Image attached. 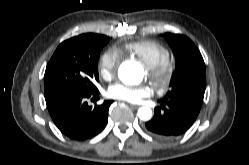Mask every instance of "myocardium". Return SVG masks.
<instances>
[{
	"mask_svg": "<svg viewBox=\"0 0 249 165\" xmlns=\"http://www.w3.org/2000/svg\"><path fill=\"white\" fill-rule=\"evenodd\" d=\"M175 73V64L166 59L154 66H147V75L155 89L159 92L168 90Z\"/></svg>",
	"mask_w": 249,
	"mask_h": 165,
	"instance_id": "myocardium-1",
	"label": "myocardium"
}]
</instances>
